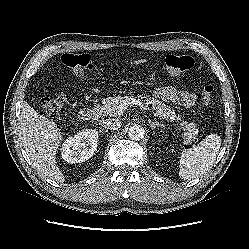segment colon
<instances>
[{
    "instance_id": "obj_1",
    "label": "colon",
    "mask_w": 249,
    "mask_h": 249,
    "mask_svg": "<svg viewBox=\"0 0 249 249\" xmlns=\"http://www.w3.org/2000/svg\"><path fill=\"white\" fill-rule=\"evenodd\" d=\"M61 60L63 64L69 67L76 75L83 76L98 69L89 54H74L65 53ZM194 65L192 57L187 55H168L164 61V68L170 75H179L191 69ZM214 91L213 85H206L202 89V101L204 104H209ZM42 109L45 113L57 118L64 105L62 96L46 97L40 101Z\"/></svg>"
}]
</instances>
